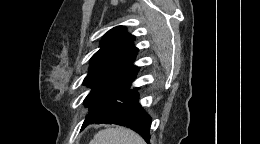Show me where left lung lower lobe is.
I'll list each match as a JSON object with an SVG mask.
<instances>
[{"label":"left lung lower lobe","mask_w":260,"mask_h":144,"mask_svg":"<svg viewBox=\"0 0 260 144\" xmlns=\"http://www.w3.org/2000/svg\"><path fill=\"white\" fill-rule=\"evenodd\" d=\"M136 74L125 83L111 101L99 111L86 126L93 123L126 126L139 133L142 138L149 143L151 117L138 102V88L130 89Z\"/></svg>","instance_id":"obj_1"}]
</instances>
